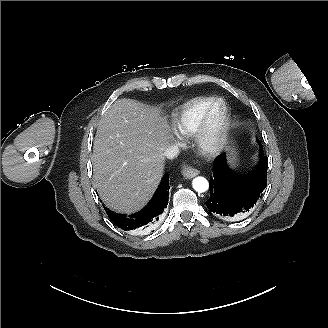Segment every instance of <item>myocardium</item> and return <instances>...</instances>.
I'll return each mask as SVG.
<instances>
[{"instance_id":"f54148a6","label":"myocardium","mask_w":328,"mask_h":328,"mask_svg":"<svg viewBox=\"0 0 328 328\" xmlns=\"http://www.w3.org/2000/svg\"><path fill=\"white\" fill-rule=\"evenodd\" d=\"M218 113L221 114V120L216 124L213 117ZM231 131V108L226 100L215 98L196 117L190 140L200 155L206 158H217L227 149Z\"/></svg>"}]
</instances>
